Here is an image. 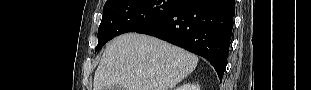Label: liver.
<instances>
[{
  "label": "liver",
  "instance_id": "obj_1",
  "mask_svg": "<svg viewBox=\"0 0 311 90\" xmlns=\"http://www.w3.org/2000/svg\"><path fill=\"white\" fill-rule=\"evenodd\" d=\"M198 57L158 38L118 36L106 47L93 90H171L195 70Z\"/></svg>",
  "mask_w": 311,
  "mask_h": 90
}]
</instances>
